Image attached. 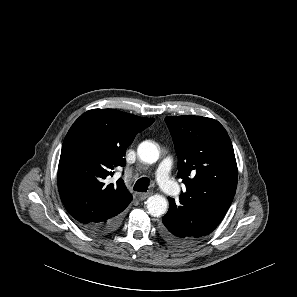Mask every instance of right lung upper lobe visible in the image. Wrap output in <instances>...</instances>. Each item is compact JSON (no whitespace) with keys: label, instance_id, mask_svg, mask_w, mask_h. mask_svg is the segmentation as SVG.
Listing matches in <instances>:
<instances>
[{"label":"right lung upper lobe","instance_id":"right-lung-upper-lobe-1","mask_svg":"<svg viewBox=\"0 0 297 297\" xmlns=\"http://www.w3.org/2000/svg\"><path fill=\"white\" fill-rule=\"evenodd\" d=\"M154 120L115 109H93L71 126L62 145L58 190L80 226L102 222L129 205L132 196L123 181L108 184L107 179L114 169L125 166L127 147Z\"/></svg>","mask_w":297,"mask_h":297}]
</instances>
